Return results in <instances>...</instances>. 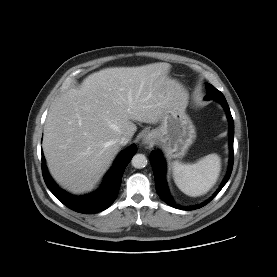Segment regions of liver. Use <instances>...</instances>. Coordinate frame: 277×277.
<instances>
[{"label": "liver", "instance_id": "liver-1", "mask_svg": "<svg viewBox=\"0 0 277 277\" xmlns=\"http://www.w3.org/2000/svg\"><path fill=\"white\" fill-rule=\"evenodd\" d=\"M170 68L165 62L106 68L54 102L42 146L59 185L77 194L91 190L119 152L118 139L133 137V121L155 124L175 104L187 105Z\"/></svg>", "mask_w": 277, "mask_h": 277}]
</instances>
